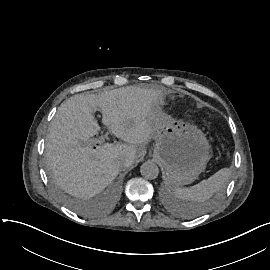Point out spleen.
I'll use <instances>...</instances> for the list:
<instances>
[{
	"mask_svg": "<svg viewBox=\"0 0 270 270\" xmlns=\"http://www.w3.org/2000/svg\"><path fill=\"white\" fill-rule=\"evenodd\" d=\"M230 174L229 168H222L208 179L202 180L189 189L176 187L169 182H166V185L173 190L174 197L182 204L184 209L195 214L200 203L206 201L213 193L226 186Z\"/></svg>",
	"mask_w": 270,
	"mask_h": 270,
	"instance_id": "obj_1",
	"label": "spleen"
}]
</instances>
